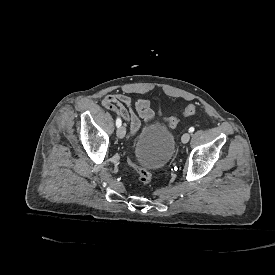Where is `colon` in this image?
I'll return each mask as SVG.
<instances>
[{"instance_id":"obj_1","label":"colon","mask_w":275,"mask_h":275,"mask_svg":"<svg viewBox=\"0 0 275 275\" xmlns=\"http://www.w3.org/2000/svg\"><path fill=\"white\" fill-rule=\"evenodd\" d=\"M149 99V103H155V110H160V104H161V100L162 97L158 96V95H151L148 96ZM186 115H201V111L200 109H198L195 106H190L187 108V111H185ZM161 123L169 128L175 127L178 122H179V118L175 117V116H171V117H161L160 118ZM134 168L137 171V179L138 182L144 186L148 185L151 180H152V174L149 171V169L144 166V165H140V164H134L133 165Z\"/></svg>"}]
</instances>
